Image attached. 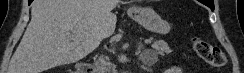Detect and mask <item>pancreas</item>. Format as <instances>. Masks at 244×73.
Segmentation results:
<instances>
[{
    "label": "pancreas",
    "instance_id": "pancreas-1",
    "mask_svg": "<svg viewBox=\"0 0 244 73\" xmlns=\"http://www.w3.org/2000/svg\"><path fill=\"white\" fill-rule=\"evenodd\" d=\"M152 47L157 55H165L172 52L168 44L163 40H158L154 42ZM107 60V58L100 57L96 61L95 65L98 73H106V71H109L111 69L112 64L109 63ZM145 62H148V60H145Z\"/></svg>",
    "mask_w": 244,
    "mask_h": 73
}]
</instances>
